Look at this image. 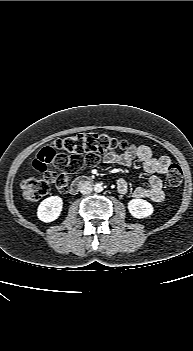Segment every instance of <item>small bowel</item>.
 I'll list each match as a JSON object with an SVG mask.
<instances>
[{
  "label": "small bowel",
  "mask_w": 193,
  "mask_h": 351,
  "mask_svg": "<svg viewBox=\"0 0 193 351\" xmlns=\"http://www.w3.org/2000/svg\"><path fill=\"white\" fill-rule=\"evenodd\" d=\"M138 160L144 171L149 174L148 183L145 186L136 187L132 195L135 198L148 199L159 203L164 200L163 185L160 174H163L169 164L167 156L155 157L151 148L147 145L129 146L122 153L110 152L103 156V162L111 165L129 167ZM117 190L121 194L128 192V184L125 179L117 181Z\"/></svg>",
  "instance_id": "1"
}]
</instances>
